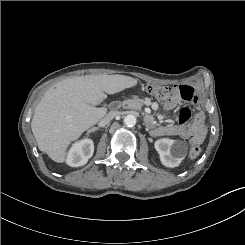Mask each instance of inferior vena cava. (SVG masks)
<instances>
[{
  "label": "inferior vena cava",
  "mask_w": 245,
  "mask_h": 245,
  "mask_svg": "<svg viewBox=\"0 0 245 245\" xmlns=\"http://www.w3.org/2000/svg\"><path fill=\"white\" fill-rule=\"evenodd\" d=\"M117 116L116 112H110L108 113L102 120H101V124L102 125H106L107 123H109L112 119H114Z\"/></svg>",
  "instance_id": "obj_1"
}]
</instances>
